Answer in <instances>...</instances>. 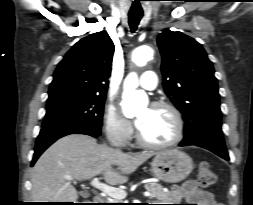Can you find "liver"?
Instances as JSON below:
<instances>
[{
	"instance_id": "obj_1",
	"label": "liver",
	"mask_w": 253,
	"mask_h": 205,
	"mask_svg": "<svg viewBox=\"0 0 253 205\" xmlns=\"http://www.w3.org/2000/svg\"><path fill=\"white\" fill-rule=\"evenodd\" d=\"M152 152L124 153L97 144L96 139L82 134L67 135L52 144L37 160L31 173L35 202H74L78 193L72 180H88L102 175L110 185L124 184ZM117 166L120 172L113 169ZM68 179H71L68 180Z\"/></svg>"
}]
</instances>
